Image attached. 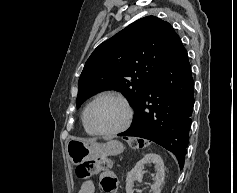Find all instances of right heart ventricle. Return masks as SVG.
Returning a JSON list of instances; mask_svg holds the SVG:
<instances>
[{
	"label": "right heart ventricle",
	"mask_w": 237,
	"mask_h": 193,
	"mask_svg": "<svg viewBox=\"0 0 237 193\" xmlns=\"http://www.w3.org/2000/svg\"><path fill=\"white\" fill-rule=\"evenodd\" d=\"M85 112H86V110L84 111V113H83V118H82L84 130H85L88 134L93 135L94 133L91 131V129H90V128L88 127V125H87L86 118H85Z\"/></svg>",
	"instance_id": "1"
}]
</instances>
